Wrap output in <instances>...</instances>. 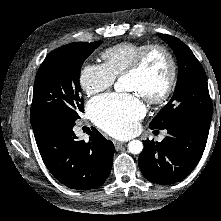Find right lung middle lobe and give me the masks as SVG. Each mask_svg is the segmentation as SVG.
Returning a JSON list of instances; mask_svg holds the SVG:
<instances>
[{"instance_id": "1", "label": "right lung middle lobe", "mask_w": 221, "mask_h": 221, "mask_svg": "<svg viewBox=\"0 0 221 221\" xmlns=\"http://www.w3.org/2000/svg\"><path fill=\"white\" fill-rule=\"evenodd\" d=\"M102 42L70 43L52 51L35 78L31 105L32 127L51 118L76 121L84 112L80 95V69Z\"/></svg>"}]
</instances>
